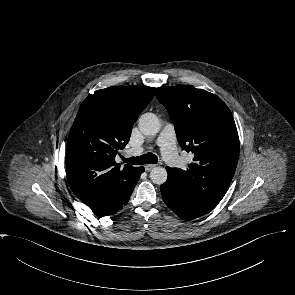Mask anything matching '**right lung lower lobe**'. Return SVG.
<instances>
[{"label":"right lung lower lobe","mask_w":295,"mask_h":295,"mask_svg":"<svg viewBox=\"0 0 295 295\" xmlns=\"http://www.w3.org/2000/svg\"><path fill=\"white\" fill-rule=\"evenodd\" d=\"M143 172L144 167L136 168L131 179L124 186L119 188L103 205L93 208V213L98 217H103L113 215L121 210L128 203L131 193Z\"/></svg>","instance_id":"98d812e1"}]
</instances>
